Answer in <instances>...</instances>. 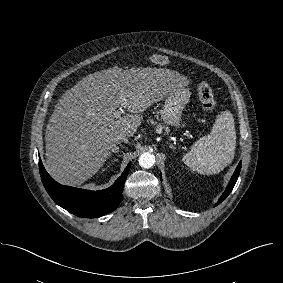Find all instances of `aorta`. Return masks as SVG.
I'll use <instances>...</instances> for the list:
<instances>
[{"label":"aorta","instance_id":"aorta-1","mask_svg":"<svg viewBox=\"0 0 283 283\" xmlns=\"http://www.w3.org/2000/svg\"><path fill=\"white\" fill-rule=\"evenodd\" d=\"M139 165L143 168H151L155 164V156L149 152H144L139 157Z\"/></svg>","mask_w":283,"mask_h":283}]
</instances>
